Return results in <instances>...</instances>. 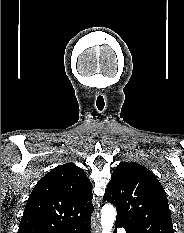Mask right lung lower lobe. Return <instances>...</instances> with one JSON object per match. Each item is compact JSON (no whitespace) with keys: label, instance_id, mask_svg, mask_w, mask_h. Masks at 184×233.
<instances>
[{"label":"right lung lower lobe","instance_id":"98d812e1","mask_svg":"<svg viewBox=\"0 0 184 233\" xmlns=\"http://www.w3.org/2000/svg\"><path fill=\"white\" fill-rule=\"evenodd\" d=\"M91 218H88L80 223L68 226L64 229L51 231L49 233H90Z\"/></svg>","mask_w":184,"mask_h":233}]
</instances>
